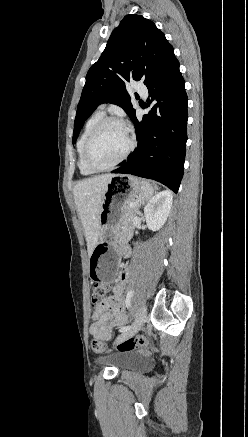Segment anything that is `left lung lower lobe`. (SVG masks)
<instances>
[{
    "instance_id": "0a47b994",
    "label": "left lung lower lobe",
    "mask_w": 248,
    "mask_h": 437,
    "mask_svg": "<svg viewBox=\"0 0 248 437\" xmlns=\"http://www.w3.org/2000/svg\"><path fill=\"white\" fill-rule=\"evenodd\" d=\"M175 58L147 88L148 114L132 122L138 146L112 173L156 180L177 193L184 171L187 141V94Z\"/></svg>"
}]
</instances>
